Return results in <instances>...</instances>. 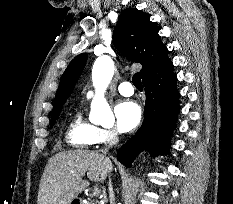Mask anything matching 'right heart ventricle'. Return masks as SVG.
Returning a JSON list of instances; mask_svg holds the SVG:
<instances>
[{
  "instance_id": "right-heart-ventricle-1",
  "label": "right heart ventricle",
  "mask_w": 233,
  "mask_h": 204,
  "mask_svg": "<svg viewBox=\"0 0 233 204\" xmlns=\"http://www.w3.org/2000/svg\"><path fill=\"white\" fill-rule=\"evenodd\" d=\"M98 128L85 119L81 109L73 114L66 131V140L75 148H86L96 144Z\"/></svg>"
}]
</instances>
